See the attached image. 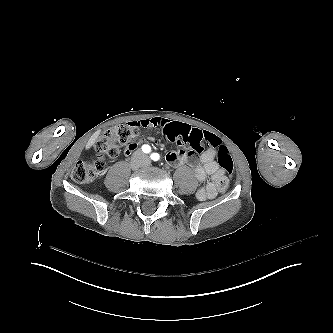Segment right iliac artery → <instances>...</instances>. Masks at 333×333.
Wrapping results in <instances>:
<instances>
[{
  "instance_id": "right-iliac-artery-1",
  "label": "right iliac artery",
  "mask_w": 333,
  "mask_h": 333,
  "mask_svg": "<svg viewBox=\"0 0 333 333\" xmlns=\"http://www.w3.org/2000/svg\"><path fill=\"white\" fill-rule=\"evenodd\" d=\"M142 151L144 153H149L151 151V147L149 145H143L142 146Z\"/></svg>"
}]
</instances>
